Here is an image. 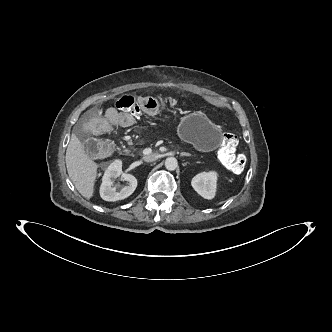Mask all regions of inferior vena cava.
Masks as SVG:
<instances>
[{
	"mask_svg": "<svg viewBox=\"0 0 332 332\" xmlns=\"http://www.w3.org/2000/svg\"><path fill=\"white\" fill-rule=\"evenodd\" d=\"M157 158H158V155L155 154V153H151V154H149V155H145V156H144V160H145L146 162H153V161H155Z\"/></svg>",
	"mask_w": 332,
	"mask_h": 332,
	"instance_id": "inferior-vena-cava-1",
	"label": "inferior vena cava"
}]
</instances>
